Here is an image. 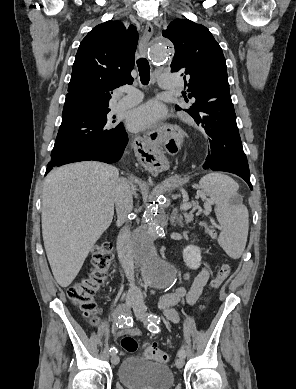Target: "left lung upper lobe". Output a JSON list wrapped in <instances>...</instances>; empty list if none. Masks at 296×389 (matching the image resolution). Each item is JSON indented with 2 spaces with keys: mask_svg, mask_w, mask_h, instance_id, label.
Segmentation results:
<instances>
[{
  "mask_svg": "<svg viewBox=\"0 0 296 389\" xmlns=\"http://www.w3.org/2000/svg\"><path fill=\"white\" fill-rule=\"evenodd\" d=\"M162 35L175 47L171 71L182 73L190 92L188 96L195 101L189 109L183 110L200 124L211 106L218 104L223 97H230L222 49L205 26L188 19L174 20ZM185 94L183 97L187 100ZM176 110L182 108L176 105Z\"/></svg>",
  "mask_w": 296,
  "mask_h": 389,
  "instance_id": "1",
  "label": "left lung upper lobe"
}]
</instances>
